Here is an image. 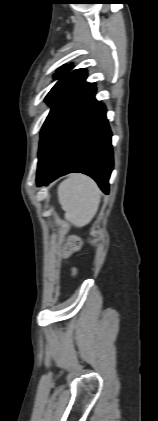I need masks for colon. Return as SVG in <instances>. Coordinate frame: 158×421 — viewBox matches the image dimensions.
Segmentation results:
<instances>
[{
    "instance_id": "colon-1",
    "label": "colon",
    "mask_w": 158,
    "mask_h": 421,
    "mask_svg": "<svg viewBox=\"0 0 158 421\" xmlns=\"http://www.w3.org/2000/svg\"><path fill=\"white\" fill-rule=\"evenodd\" d=\"M80 246V241L77 238H72L68 241L67 247L65 249L64 255L66 257L70 256L74 251H76Z\"/></svg>"
}]
</instances>
